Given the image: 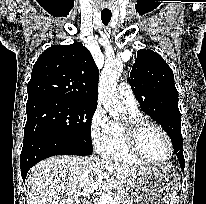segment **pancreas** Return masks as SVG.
I'll list each match as a JSON object with an SVG mask.
<instances>
[{"mask_svg": "<svg viewBox=\"0 0 206 204\" xmlns=\"http://www.w3.org/2000/svg\"><path fill=\"white\" fill-rule=\"evenodd\" d=\"M113 198L119 197L120 198V203L119 204H130L128 201V196L126 191H117L116 193L113 194Z\"/></svg>", "mask_w": 206, "mask_h": 204, "instance_id": "cf45deb5", "label": "pancreas"}]
</instances>
